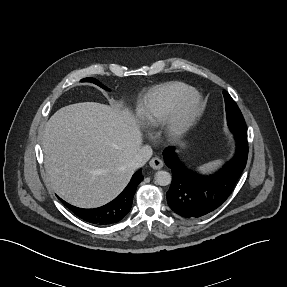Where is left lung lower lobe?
I'll use <instances>...</instances> for the list:
<instances>
[{"instance_id": "0a47b994", "label": "left lung lower lobe", "mask_w": 287, "mask_h": 287, "mask_svg": "<svg viewBox=\"0 0 287 287\" xmlns=\"http://www.w3.org/2000/svg\"><path fill=\"white\" fill-rule=\"evenodd\" d=\"M229 127L236 139V153L215 175L201 176L183 165L173 147L164 150V162L172 171L167 203L181 217L199 218L218 208L231 194L244 170L248 157L246 125Z\"/></svg>"}]
</instances>
